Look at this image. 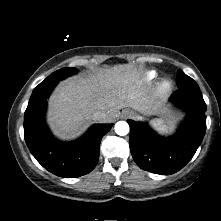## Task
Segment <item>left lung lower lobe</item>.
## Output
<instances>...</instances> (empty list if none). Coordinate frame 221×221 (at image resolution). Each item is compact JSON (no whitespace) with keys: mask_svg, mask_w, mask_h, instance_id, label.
Instances as JSON below:
<instances>
[{"mask_svg":"<svg viewBox=\"0 0 221 221\" xmlns=\"http://www.w3.org/2000/svg\"><path fill=\"white\" fill-rule=\"evenodd\" d=\"M170 101L186 113L171 137L158 135L147 123L127 120L134 161L141 169L161 175L182 169L194 156L206 131V104L201 91L178 90Z\"/></svg>","mask_w":221,"mask_h":221,"instance_id":"0a47b994","label":"left lung lower lobe"}]
</instances>
